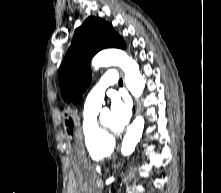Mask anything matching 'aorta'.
I'll return each instance as SVG.
<instances>
[{"mask_svg": "<svg viewBox=\"0 0 221 193\" xmlns=\"http://www.w3.org/2000/svg\"><path fill=\"white\" fill-rule=\"evenodd\" d=\"M109 66H118L123 70L126 87L134 97L142 95L145 80L140 73L138 63L132 57L120 49H108L98 53L92 60V67L95 69ZM144 123L143 117L138 116L128 127L122 141V155L129 156L133 153L142 137Z\"/></svg>", "mask_w": 221, "mask_h": 193, "instance_id": "1", "label": "aorta"}]
</instances>
